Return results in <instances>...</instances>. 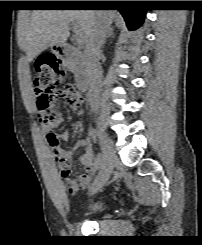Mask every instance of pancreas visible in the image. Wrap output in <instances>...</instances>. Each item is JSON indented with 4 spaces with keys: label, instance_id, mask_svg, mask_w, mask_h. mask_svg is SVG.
Masks as SVG:
<instances>
[{
    "label": "pancreas",
    "instance_id": "1",
    "mask_svg": "<svg viewBox=\"0 0 202 245\" xmlns=\"http://www.w3.org/2000/svg\"><path fill=\"white\" fill-rule=\"evenodd\" d=\"M64 66H66L72 72H74L76 70V64L72 59L66 60L64 62Z\"/></svg>",
    "mask_w": 202,
    "mask_h": 245
}]
</instances>
